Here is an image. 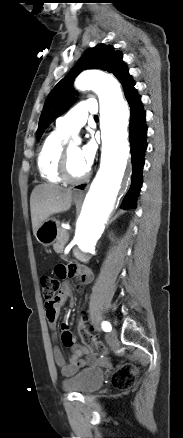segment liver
<instances>
[{"label":"liver","instance_id":"1","mask_svg":"<svg viewBox=\"0 0 183 438\" xmlns=\"http://www.w3.org/2000/svg\"><path fill=\"white\" fill-rule=\"evenodd\" d=\"M72 203V190L52 184L36 186L30 197L33 234L51 215L66 212Z\"/></svg>","mask_w":183,"mask_h":438}]
</instances>
